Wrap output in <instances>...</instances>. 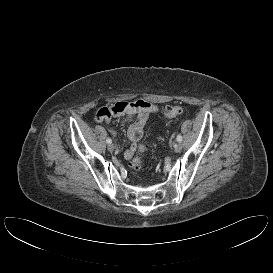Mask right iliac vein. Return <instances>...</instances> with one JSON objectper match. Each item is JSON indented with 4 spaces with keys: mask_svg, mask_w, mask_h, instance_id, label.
<instances>
[{
    "mask_svg": "<svg viewBox=\"0 0 273 273\" xmlns=\"http://www.w3.org/2000/svg\"><path fill=\"white\" fill-rule=\"evenodd\" d=\"M114 149H115V146H114L113 144H109V145H108V150H109L110 152H113Z\"/></svg>",
    "mask_w": 273,
    "mask_h": 273,
    "instance_id": "63e3f726",
    "label": "right iliac vein"
}]
</instances>
